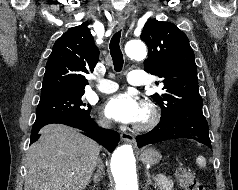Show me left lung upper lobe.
I'll return each instance as SVG.
<instances>
[{"mask_svg":"<svg viewBox=\"0 0 238 190\" xmlns=\"http://www.w3.org/2000/svg\"><path fill=\"white\" fill-rule=\"evenodd\" d=\"M141 39L149 50L144 70L162 78L164 85L162 94L151 96L162 109L161 117L179 109L202 108L195 56L185 33L173 23L150 19Z\"/></svg>","mask_w":238,"mask_h":190,"instance_id":"5c2ea615","label":"left lung upper lobe"}]
</instances>
